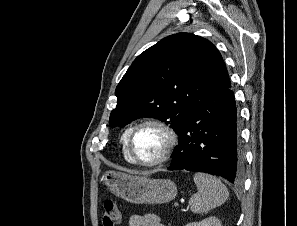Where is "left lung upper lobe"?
Masks as SVG:
<instances>
[{"instance_id": "obj_1", "label": "left lung upper lobe", "mask_w": 297, "mask_h": 226, "mask_svg": "<svg viewBox=\"0 0 297 226\" xmlns=\"http://www.w3.org/2000/svg\"><path fill=\"white\" fill-rule=\"evenodd\" d=\"M231 87L216 47L190 33L168 36L140 54L116 88L111 127L141 117L170 124L178 133L183 121L210 90Z\"/></svg>"}]
</instances>
